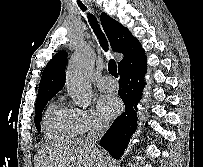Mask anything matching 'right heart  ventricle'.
Returning a JSON list of instances; mask_svg holds the SVG:
<instances>
[{
	"label": "right heart ventricle",
	"mask_w": 203,
	"mask_h": 167,
	"mask_svg": "<svg viewBox=\"0 0 203 167\" xmlns=\"http://www.w3.org/2000/svg\"><path fill=\"white\" fill-rule=\"evenodd\" d=\"M43 132L49 141L66 142L77 135L70 109L57 103H52L43 119Z\"/></svg>",
	"instance_id": "e07e8e85"
}]
</instances>
